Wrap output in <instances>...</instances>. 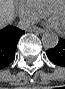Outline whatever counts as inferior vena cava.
Masks as SVG:
<instances>
[{"instance_id":"obj_1","label":"inferior vena cava","mask_w":65,"mask_h":89,"mask_svg":"<svg viewBox=\"0 0 65 89\" xmlns=\"http://www.w3.org/2000/svg\"><path fill=\"white\" fill-rule=\"evenodd\" d=\"M36 23V21L34 19H30V18H21L18 26L21 29H27L29 28L31 25H34Z\"/></svg>"}]
</instances>
